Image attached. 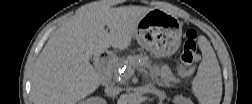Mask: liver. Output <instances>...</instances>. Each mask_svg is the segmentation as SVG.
<instances>
[{"label": "liver", "mask_w": 252, "mask_h": 104, "mask_svg": "<svg viewBox=\"0 0 252 104\" xmlns=\"http://www.w3.org/2000/svg\"><path fill=\"white\" fill-rule=\"evenodd\" d=\"M151 10L142 6L112 8L94 2L63 22L35 62L33 102L74 104L92 94L103 82V76L90 64L92 56L110 47L127 49L140 20Z\"/></svg>", "instance_id": "liver-1"}]
</instances>
